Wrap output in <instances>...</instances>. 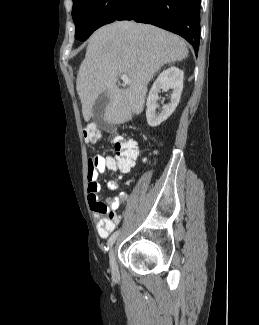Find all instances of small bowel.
<instances>
[{
  "mask_svg": "<svg viewBox=\"0 0 259 325\" xmlns=\"http://www.w3.org/2000/svg\"><path fill=\"white\" fill-rule=\"evenodd\" d=\"M137 157L138 155L133 159L124 161L118 156L96 155L90 158L92 164L88 161V202L95 215L97 232L103 239L107 238L119 223L120 217L115 211L123 205L127 196L124 193H120L116 197L107 198L105 202L99 201L98 192L100 191V185L98 183V176L106 170L119 171L121 175L110 179L107 183L108 189L115 191L119 188L122 174L128 173L134 167ZM106 213H108V217H103Z\"/></svg>",
  "mask_w": 259,
  "mask_h": 325,
  "instance_id": "obj_1",
  "label": "small bowel"
}]
</instances>
